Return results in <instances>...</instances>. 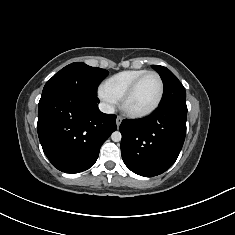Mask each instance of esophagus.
Instances as JSON below:
<instances>
[{
	"label": "esophagus",
	"mask_w": 235,
	"mask_h": 235,
	"mask_svg": "<svg viewBox=\"0 0 235 235\" xmlns=\"http://www.w3.org/2000/svg\"><path fill=\"white\" fill-rule=\"evenodd\" d=\"M122 121H123L122 116H117V117H116V124H117V127L120 126V124H121Z\"/></svg>",
	"instance_id": "obj_1"
}]
</instances>
